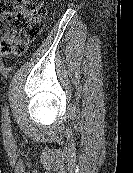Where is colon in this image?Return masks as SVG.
Wrapping results in <instances>:
<instances>
[{"mask_svg": "<svg viewBox=\"0 0 133 173\" xmlns=\"http://www.w3.org/2000/svg\"><path fill=\"white\" fill-rule=\"evenodd\" d=\"M42 0H0V53L23 54L43 30Z\"/></svg>", "mask_w": 133, "mask_h": 173, "instance_id": "obj_1", "label": "colon"}]
</instances>
